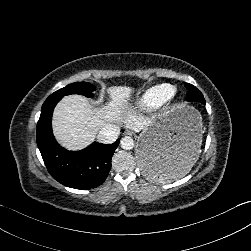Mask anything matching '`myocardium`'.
I'll use <instances>...</instances> for the list:
<instances>
[{"label": "myocardium", "instance_id": "1", "mask_svg": "<svg viewBox=\"0 0 251 251\" xmlns=\"http://www.w3.org/2000/svg\"><path fill=\"white\" fill-rule=\"evenodd\" d=\"M182 98L176 88L167 97L166 101L162 105L166 110H175L181 104Z\"/></svg>", "mask_w": 251, "mask_h": 251}]
</instances>
